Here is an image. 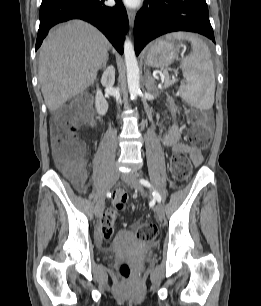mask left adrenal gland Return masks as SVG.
Returning a JSON list of instances; mask_svg holds the SVG:
<instances>
[{"instance_id":"left-adrenal-gland-1","label":"left adrenal gland","mask_w":261,"mask_h":306,"mask_svg":"<svg viewBox=\"0 0 261 306\" xmlns=\"http://www.w3.org/2000/svg\"><path fill=\"white\" fill-rule=\"evenodd\" d=\"M145 78H146L145 86H146L147 90L150 91L151 87H152V84H153V78L150 75V72H149L148 69H146Z\"/></svg>"}]
</instances>
